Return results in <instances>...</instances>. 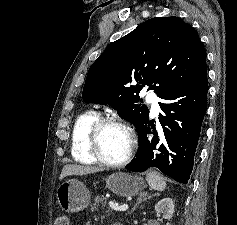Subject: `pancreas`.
Listing matches in <instances>:
<instances>
[{
    "mask_svg": "<svg viewBox=\"0 0 237 225\" xmlns=\"http://www.w3.org/2000/svg\"><path fill=\"white\" fill-rule=\"evenodd\" d=\"M107 200L108 199L104 196H96V198L94 199V202L91 205V208L93 210H96L100 206H106Z\"/></svg>",
    "mask_w": 237,
    "mask_h": 225,
    "instance_id": "cf45deb5",
    "label": "pancreas"
}]
</instances>
